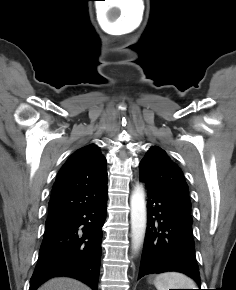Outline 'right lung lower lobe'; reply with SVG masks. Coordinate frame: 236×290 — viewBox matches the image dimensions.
<instances>
[{"label":"right lung lower lobe","instance_id":"98d812e1","mask_svg":"<svg viewBox=\"0 0 236 290\" xmlns=\"http://www.w3.org/2000/svg\"><path fill=\"white\" fill-rule=\"evenodd\" d=\"M106 195L97 203L46 226L29 290H36L55 276H70L97 290Z\"/></svg>","mask_w":236,"mask_h":290}]
</instances>
